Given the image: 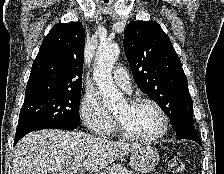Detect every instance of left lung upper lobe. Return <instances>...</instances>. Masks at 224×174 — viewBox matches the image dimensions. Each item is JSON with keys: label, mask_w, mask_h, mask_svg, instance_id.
I'll return each mask as SVG.
<instances>
[{"label": "left lung upper lobe", "mask_w": 224, "mask_h": 174, "mask_svg": "<svg viewBox=\"0 0 224 174\" xmlns=\"http://www.w3.org/2000/svg\"><path fill=\"white\" fill-rule=\"evenodd\" d=\"M124 50L138 87L169 116L175 130L193 122V103L181 61L168 36L154 21L131 22Z\"/></svg>", "instance_id": "1"}]
</instances>
